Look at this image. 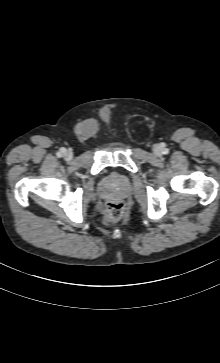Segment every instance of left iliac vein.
Listing matches in <instances>:
<instances>
[{
  "label": "left iliac vein",
  "mask_w": 220,
  "mask_h": 363,
  "mask_svg": "<svg viewBox=\"0 0 220 363\" xmlns=\"http://www.w3.org/2000/svg\"><path fill=\"white\" fill-rule=\"evenodd\" d=\"M154 151H155V153H156L157 155H160V154H161V152H162V149H161V147H160V146H156V147H155V149H154Z\"/></svg>",
  "instance_id": "obj_1"
}]
</instances>
